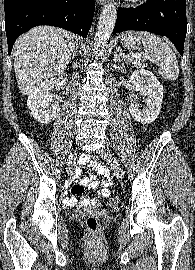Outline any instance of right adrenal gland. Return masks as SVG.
<instances>
[{
  "label": "right adrenal gland",
  "instance_id": "2a0ac1e0",
  "mask_svg": "<svg viewBox=\"0 0 195 270\" xmlns=\"http://www.w3.org/2000/svg\"><path fill=\"white\" fill-rule=\"evenodd\" d=\"M77 50H78V44L76 43L75 49H74V52H73V54H72V58H71V59H74V58L76 57V55H77Z\"/></svg>",
  "mask_w": 195,
  "mask_h": 270
}]
</instances>
